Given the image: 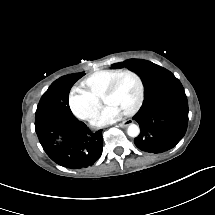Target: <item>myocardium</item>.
I'll list each match as a JSON object with an SVG mask.
<instances>
[{
  "instance_id": "f54148a6",
  "label": "myocardium",
  "mask_w": 215,
  "mask_h": 215,
  "mask_svg": "<svg viewBox=\"0 0 215 215\" xmlns=\"http://www.w3.org/2000/svg\"><path fill=\"white\" fill-rule=\"evenodd\" d=\"M122 77H128L134 83V94L131 106L125 109L126 115H132L135 109L139 108L143 94L142 82L140 77L136 73L130 70H122L121 73L114 75L113 79L109 82V84L106 87V94L107 95L111 94V91L115 89L117 84L121 81Z\"/></svg>"
}]
</instances>
